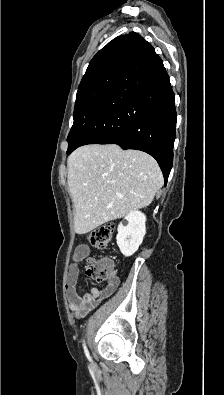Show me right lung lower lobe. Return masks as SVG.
I'll return each instance as SVG.
<instances>
[{
  "label": "right lung lower lobe",
  "mask_w": 224,
  "mask_h": 395,
  "mask_svg": "<svg viewBox=\"0 0 224 395\" xmlns=\"http://www.w3.org/2000/svg\"><path fill=\"white\" fill-rule=\"evenodd\" d=\"M176 118L169 76L154 48L144 40L67 154L95 143L141 150L157 160L166 184L173 162Z\"/></svg>",
  "instance_id": "right-lung-lower-lobe-1"
}]
</instances>
